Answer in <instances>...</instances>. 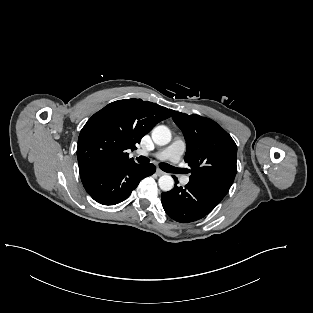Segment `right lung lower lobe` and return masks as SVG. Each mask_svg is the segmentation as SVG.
<instances>
[{
  "label": "right lung lower lobe",
  "instance_id": "98d812e1",
  "mask_svg": "<svg viewBox=\"0 0 313 313\" xmlns=\"http://www.w3.org/2000/svg\"><path fill=\"white\" fill-rule=\"evenodd\" d=\"M156 171L153 164L129 165L81 174L87 193L98 203L115 205L127 199L139 182Z\"/></svg>",
  "mask_w": 313,
  "mask_h": 313
}]
</instances>
